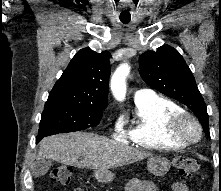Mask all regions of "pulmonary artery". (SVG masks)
<instances>
[{"instance_id":"obj_1","label":"pulmonary artery","mask_w":221,"mask_h":191,"mask_svg":"<svg viewBox=\"0 0 221 191\" xmlns=\"http://www.w3.org/2000/svg\"><path fill=\"white\" fill-rule=\"evenodd\" d=\"M155 96V93L150 89H138L134 94L135 102H144L152 99Z\"/></svg>"}]
</instances>
